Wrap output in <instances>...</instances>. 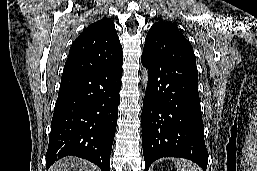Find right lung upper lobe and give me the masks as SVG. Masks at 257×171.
I'll return each instance as SVG.
<instances>
[{
  "instance_id": "obj_1",
  "label": "right lung upper lobe",
  "mask_w": 257,
  "mask_h": 171,
  "mask_svg": "<svg viewBox=\"0 0 257 171\" xmlns=\"http://www.w3.org/2000/svg\"><path fill=\"white\" fill-rule=\"evenodd\" d=\"M122 61V47L114 23L103 18L88 26L73 42L62 76L97 71Z\"/></svg>"
}]
</instances>
